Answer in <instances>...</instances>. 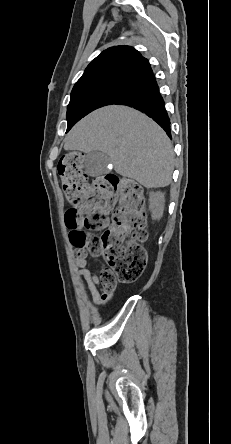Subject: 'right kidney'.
I'll use <instances>...</instances> for the list:
<instances>
[{
	"label": "right kidney",
	"mask_w": 231,
	"mask_h": 444,
	"mask_svg": "<svg viewBox=\"0 0 231 444\" xmlns=\"http://www.w3.org/2000/svg\"><path fill=\"white\" fill-rule=\"evenodd\" d=\"M164 194L161 192H151L149 198V210L154 219H160L164 210Z\"/></svg>",
	"instance_id": "right-kidney-1"
}]
</instances>
